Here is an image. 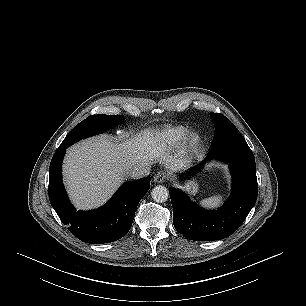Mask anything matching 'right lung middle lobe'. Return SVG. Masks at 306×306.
<instances>
[{
  "mask_svg": "<svg viewBox=\"0 0 306 306\" xmlns=\"http://www.w3.org/2000/svg\"><path fill=\"white\" fill-rule=\"evenodd\" d=\"M123 121V115H91L76 125L58 149L68 148L82 138L96 135L113 128Z\"/></svg>",
  "mask_w": 306,
  "mask_h": 306,
  "instance_id": "dd1d6c3e",
  "label": "right lung middle lobe"
}]
</instances>
